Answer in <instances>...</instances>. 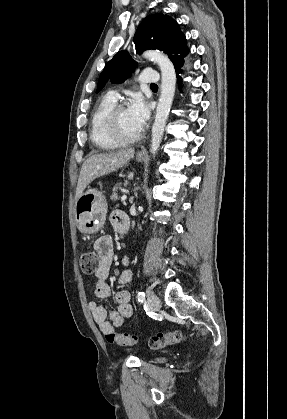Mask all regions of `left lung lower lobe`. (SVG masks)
Instances as JSON below:
<instances>
[{
	"label": "left lung lower lobe",
	"mask_w": 287,
	"mask_h": 419,
	"mask_svg": "<svg viewBox=\"0 0 287 419\" xmlns=\"http://www.w3.org/2000/svg\"><path fill=\"white\" fill-rule=\"evenodd\" d=\"M181 68L176 70L177 78H178V85L181 87V77L179 76V73H181Z\"/></svg>",
	"instance_id": "1"
}]
</instances>
